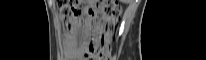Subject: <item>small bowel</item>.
Returning <instances> with one entry per match:
<instances>
[{
  "mask_svg": "<svg viewBox=\"0 0 206 60\" xmlns=\"http://www.w3.org/2000/svg\"><path fill=\"white\" fill-rule=\"evenodd\" d=\"M73 34L74 30H71L65 40V56L68 60H76L81 55V51L75 46Z\"/></svg>",
  "mask_w": 206,
  "mask_h": 60,
  "instance_id": "obj_1",
  "label": "small bowel"
}]
</instances>
